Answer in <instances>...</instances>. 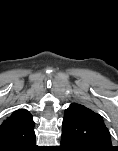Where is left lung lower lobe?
I'll list each match as a JSON object with an SVG mask.
<instances>
[{"label":"left lung lower lobe","mask_w":118,"mask_h":151,"mask_svg":"<svg viewBox=\"0 0 118 151\" xmlns=\"http://www.w3.org/2000/svg\"><path fill=\"white\" fill-rule=\"evenodd\" d=\"M62 151H85V149L71 136L62 134L61 135V146Z\"/></svg>","instance_id":"0a47b994"}]
</instances>
